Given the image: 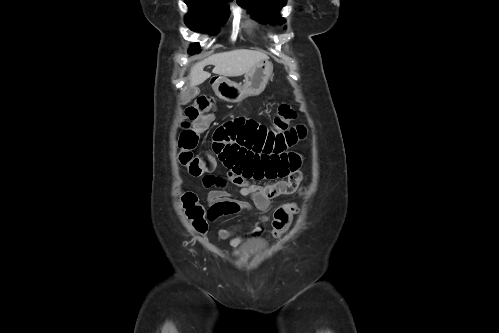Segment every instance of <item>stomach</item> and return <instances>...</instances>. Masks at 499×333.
<instances>
[{
    "label": "stomach",
    "mask_w": 499,
    "mask_h": 333,
    "mask_svg": "<svg viewBox=\"0 0 499 333\" xmlns=\"http://www.w3.org/2000/svg\"><path fill=\"white\" fill-rule=\"evenodd\" d=\"M273 72V65L268 60L253 66L245 75L243 84L219 77L213 84V90L220 99L239 103L247 97L261 94Z\"/></svg>",
    "instance_id": "0dacf381"
}]
</instances>
